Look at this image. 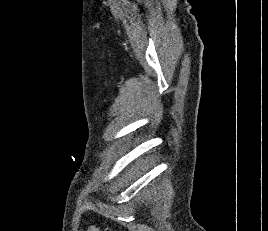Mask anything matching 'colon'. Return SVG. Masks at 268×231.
I'll return each instance as SVG.
<instances>
[{"label":"colon","instance_id":"colon-1","mask_svg":"<svg viewBox=\"0 0 268 231\" xmlns=\"http://www.w3.org/2000/svg\"><path fill=\"white\" fill-rule=\"evenodd\" d=\"M105 231H110V229L106 228Z\"/></svg>","mask_w":268,"mask_h":231}]
</instances>
